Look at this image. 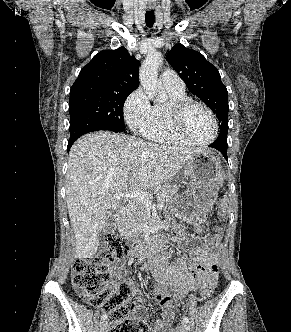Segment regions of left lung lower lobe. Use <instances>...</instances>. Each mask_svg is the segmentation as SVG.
Instances as JSON below:
<instances>
[{"label": "left lung lower lobe", "instance_id": "0a47b994", "mask_svg": "<svg viewBox=\"0 0 291 332\" xmlns=\"http://www.w3.org/2000/svg\"><path fill=\"white\" fill-rule=\"evenodd\" d=\"M209 146L219 150L224 155L225 159L228 161V159H227V138H225L224 136H218L217 140Z\"/></svg>", "mask_w": 291, "mask_h": 332}]
</instances>
